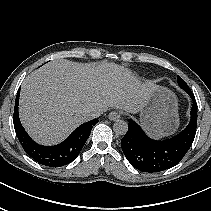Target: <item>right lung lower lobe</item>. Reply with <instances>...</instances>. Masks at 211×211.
Returning a JSON list of instances; mask_svg holds the SVG:
<instances>
[{
    "mask_svg": "<svg viewBox=\"0 0 211 211\" xmlns=\"http://www.w3.org/2000/svg\"><path fill=\"white\" fill-rule=\"evenodd\" d=\"M20 88L17 92L13 123L17 137L24 151L39 164L61 167L69 164L79 155L98 119L80 125L65 141L55 146H42L34 142L22 127L18 116Z\"/></svg>",
    "mask_w": 211,
    "mask_h": 211,
    "instance_id": "obj_1",
    "label": "right lung lower lobe"
}]
</instances>
